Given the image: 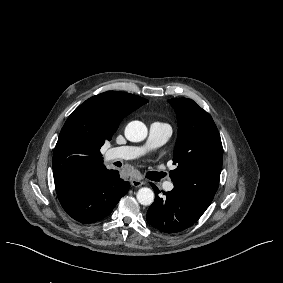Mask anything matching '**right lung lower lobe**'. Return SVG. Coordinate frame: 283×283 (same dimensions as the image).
<instances>
[{"label":"right lung lower lobe","mask_w":283,"mask_h":283,"mask_svg":"<svg viewBox=\"0 0 283 283\" xmlns=\"http://www.w3.org/2000/svg\"><path fill=\"white\" fill-rule=\"evenodd\" d=\"M129 188V182L122 180L117 170L104 167L80 186L57 196L72 218L81 223H93L108 216Z\"/></svg>","instance_id":"right-lung-lower-lobe-1"}]
</instances>
